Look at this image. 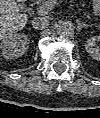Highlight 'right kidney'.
I'll return each mask as SVG.
<instances>
[{"instance_id":"ca27d5eb","label":"right kidney","mask_w":100,"mask_h":118,"mask_svg":"<svg viewBox=\"0 0 100 118\" xmlns=\"http://www.w3.org/2000/svg\"><path fill=\"white\" fill-rule=\"evenodd\" d=\"M29 47V38L25 34L14 33L0 43L1 55L6 59L21 57Z\"/></svg>"}]
</instances>
